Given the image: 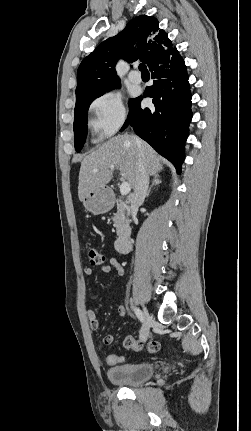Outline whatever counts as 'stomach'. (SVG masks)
Masks as SVG:
<instances>
[{"label":"stomach","mask_w":251,"mask_h":431,"mask_svg":"<svg viewBox=\"0 0 251 431\" xmlns=\"http://www.w3.org/2000/svg\"><path fill=\"white\" fill-rule=\"evenodd\" d=\"M83 206L94 215L104 214L113 207V198L107 188L90 191L82 200Z\"/></svg>","instance_id":"stomach-1"}]
</instances>
